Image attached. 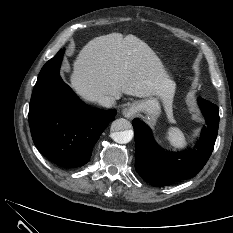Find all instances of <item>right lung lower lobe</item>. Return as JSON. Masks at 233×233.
Instances as JSON below:
<instances>
[{
	"instance_id": "1",
	"label": "right lung lower lobe",
	"mask_w": 233,
	"mask_h": 233,
	"mask_svg": "<svg viewBox=\"0 0 233 233\" xmlns=\"http://www.w3.org/2000/svg\"><path fill=\"white\" fill-rule=\"evenodd\" d=\"M64 50L42 68L34 86L29 124L37 149L64 168L88 162L92 148L116 110H99L79 100L59 75Z\"/></svg>"
}]
</instances>
